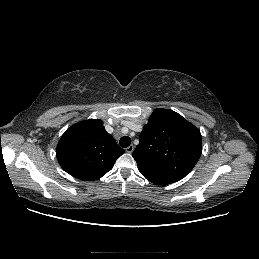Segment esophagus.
<instances>
[{"instance_id": "esophagus-1", "label": "esophagus", "mask_w": 259, "mask_h": 259, "mask_svg": "<svg viewBox=\"0 0 259 259\" xmlns=\"http://www.w3.org/2000/svg\"><path fill=\"white\" fill-rule=\"evenodd\" d=\"M134 151V146L133 145H130L126 148V152L128 153H132Z\"/></svg>"}]
</instances>
